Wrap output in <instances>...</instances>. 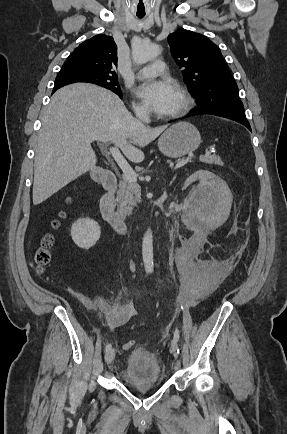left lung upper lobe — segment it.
Here are the masks:
<instances>
[{
	"label": "left lung upper lobe",
	"mask_w": 287,
	"mask_h": 434,
	"mask_svg": "<svg viewBox=\"0 0 287 434\" xmlns=\"http://www.w3.org/2000/svg\"><path fill=\"white\" fill-rule=\"evenodd\" d=\"M168 42L198 107H244L237 84L213 42L185 29L170 34Z\"/></svg>",
	"instance_id": "1"
}]
</instances>
